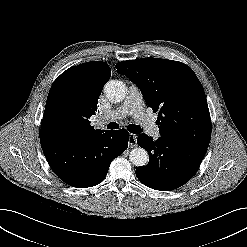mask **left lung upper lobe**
Here are the masks:
<instances>
[{"label": "left lung upper lobe", "instance_id": "1", "mask_svg": "<svg viewBox=\"0 0 247 247\" xmlns=\"http://www.w3.org/2000/svg\"><path fill=\"white\" fill-rule=\"evenodd\" d=\"M142 91L148 105L159 111L157 125L163 137L208 147L211 119L204 89L184 63L142 58L116 64Z\"/></svg>", "mask_w": 247, "mask_h": 247}]
</instances>
